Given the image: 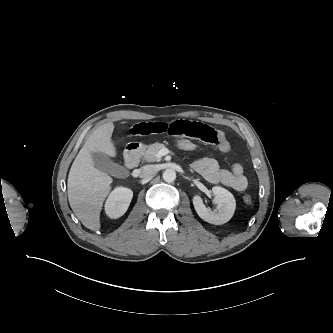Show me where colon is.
<instances>
[{
    "instance_id": "1",
    "label": "colon",
    "mask_w": 333,
    "mask_h": 333,
    "mask_svg": "<svg viewBox=\"0 0 333 333\" xmlns=\"http://www.w3.org/2000/svg\"><path fill=\"white\" fill-rule=\"evenodd\" d=\"M173 145L184 152H192L202 148V142L189 137H173ZM243 200L246 204L252 203V197L248 194L244 195Z\"/></svg>"
}]
</instances>
